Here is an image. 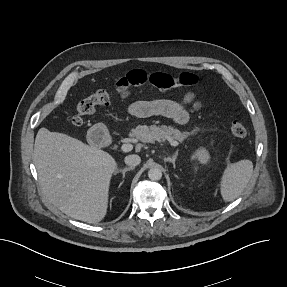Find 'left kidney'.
Listing matches in <instances>:
<instances>
[{
	"instance_id": "5707ae66",
	"label": "left kidney",
	"mask_w": 287,
	"mask_h": 287,
	"mask_svg": "<svg viewBox=\"0 0 287 287\" xmlns=\"http://www.w3.org/2000/svg\"><path fill=\"white\" fill-rule=\"evenodd\" d=\"M191 159L192 160L197 159L201 164H207L210 159V156H209L208 151L202 148V149H198Z\"/></svg>"
}]
</instances>
